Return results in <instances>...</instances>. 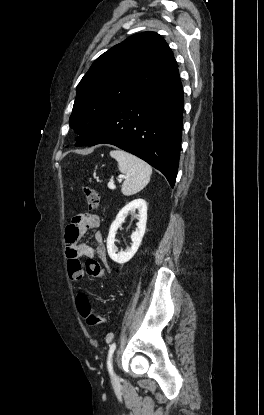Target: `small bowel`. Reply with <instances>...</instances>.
<instances>
[{
  "mask_svg": "<svg viewBox=\"0 0 264 415\" xmlns=\"http://www.w3.org/2000/svg\"><path fill=\"white\" fill-rule=\"evenodd\" d=\"M98 226L99 222L96 215L77 216L72 219L65 234L66 258L69 261H73V259H90L98 256L100 260L106 262V247L101 232L97 230ZM91 230H95L94 239L96 247L80 242V240ZM72 278L75 279V275H73Z\"/></svg>",
  "mask_w": 264,
  "mask_h": 415,
  "instance_id": "small-bowel-1",
  "label": "small bowel"
}]
</instances>
